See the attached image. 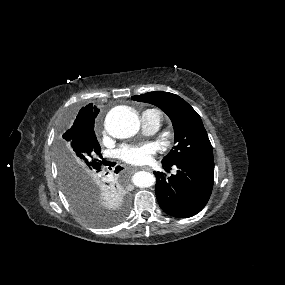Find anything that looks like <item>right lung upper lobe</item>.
Returning a JSON list of instances; mask_svg holds the SVG:
<instances>
[{"mask_svg":"<svg viewBox=\"0 0 285 285\" xmlns=\"http://www.w3.org/2000/svg\"><path fill=\"white\" fill-rule=\"evenodd\" d=\"M99 110L89 104L83 107L74 121L72 127L66 131L65 134L69 133H81V132H88L94 129V122Z\"/></svg>","mask_w":285,"mask_h":285,"instance_id":"cb5924a9","label":"right lung upper lobe"}]
</instances>
